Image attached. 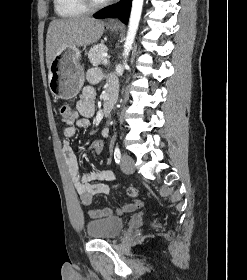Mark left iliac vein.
Returning a JSON list of instances; mask_svg holds the SVG:
<instances>
[{"mask_svg": "<svg viewBox=\"0 0 247 280\" xmlns=\"http://www.w3.org/2000/svg\"><path fill=\"white\" fill-rule=\"evenodd\" d=\"M120 167L124 173L132 174L135 169L134 160L129 155L124 154L121 158Z\"/></svg>", "mask_w": 247, "mask_h": 280, "instance_id": "4c4485c4", "label": "left iliac vein"}]
</instances>
